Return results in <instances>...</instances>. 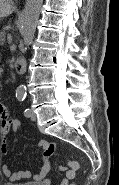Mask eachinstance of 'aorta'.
I'll return each instance as SVG.
<instances>
[{"mask_svg":"<svg viewBox=\"0 0 119 185\" xmlns=\"http://www.w3.org/2000/svg\"><path fill=\"white\" fill-rule=\"evenodd\" d=\"M43 0H26L25 8L21 18L20 32L25 46H29L34 38L37 21L39 19L40 10ZM16 93L18 95L26 94L25 85H20Z\"/></svg>","mask_w":119,"mask_h":185,"instance_id":"aorta-1","label":"aorta"}]
</instances>
